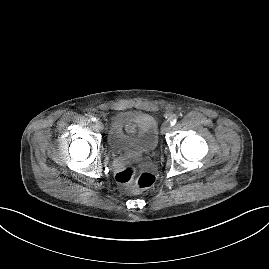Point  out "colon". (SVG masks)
Returning a JSON list of instances; mask_svg holds the SVG:
<instances>
[{"label":"colon","instance_id":"colon-1","mask_svg":"<svg viewBox=\"0 0 269 269\" xmlns=\"http://www.w3.org/2000/svg\"><path fill=\"white\" fill-rule=\"evenodd\" d=\"M115 179L128 192L134 193L152 187L156 177L151 172L139 171L134 165H127L116 172Z\"/></svg>","mask_w":269,"mask_h":269}]
</instances>
